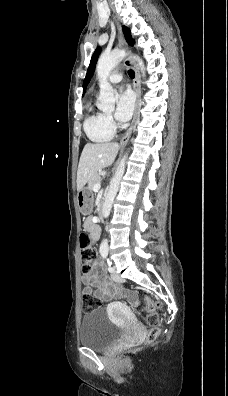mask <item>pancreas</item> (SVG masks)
<instances>
[{"label":"pancreas","mask_w":228,"mask_h":396,"mask_svg":"<svg viewBox=\"0 0 228 396\" xmlns=\"http://www.w3.org/2000/svg\"><path fill=\"white\" fill-rule=\"evenodd\" d=\"M101 176L99 174H95L89 181H88V188L93 190L94 185L101 182Z\"/></svg>","instance_id":"cf45deb5"}]
</instances>
